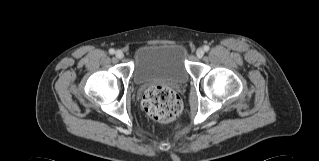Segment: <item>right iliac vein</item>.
I'll list each match as a JSON object with an SVG mask.
<instances>
[{"label": "right iliac vein", "mask_w": 319, "mask_h": 161, "mask_svg": "<svg viewBox=\"0 0 319 161\" xmlns=\"http://www.w3.org/2000/svg\"><path fill=\"white\" fill-rule=\"evenodd\" d=\"M115 56H116V58H118V59H122V58H124V53H123L121 50H117V51L115 52Z\"/></svg>", "instance_id": "obj_1"}]
</instances>
